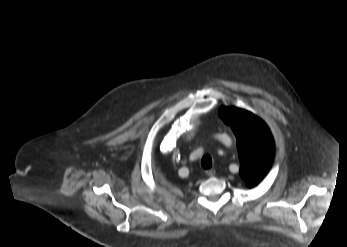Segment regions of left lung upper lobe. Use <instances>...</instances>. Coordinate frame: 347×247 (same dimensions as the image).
<instances>
[{
    "mask_svg": "<svg viewBox=\"0 0 347 247\" xmlns=\"http://www.w3.org/2000/svg\"><path fill=\"white\" fill-rule=\"evenodd\" d=\"M223 121L237 138L240 174L248 187L255 186L269 171L274 158V141L267 125L251 112L221 107Z\"/></svg>",
    "mask_w": 347,
    "mask_h": 247,
    "instance_id": "obj_1",
    "label": "left lung upper lobe"
}]
</instances>
